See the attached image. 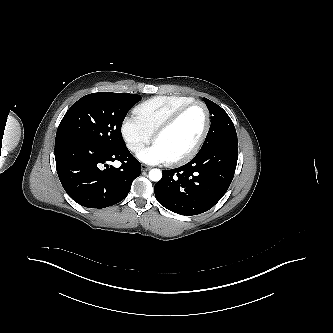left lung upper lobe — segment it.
I'll use <instances>...</instances> for the list:
<instances>
[{"instance_id":"5c2ea615","label":"left lung upper lobe","mask_w":333,"mask_h":333,"mask_svg":"<svg viewBox=\"0 0 333 333\" xmlns=\"http://www.w3.org/2000/svg\"><path fill=\"white\" fill-rule=\"evenodd\" d=\"M204 102L211 114V126L200 151L226 143L238 145L237 133L228 114L220 106L207 98H204Z\"/></svg>"}]
</instances>
